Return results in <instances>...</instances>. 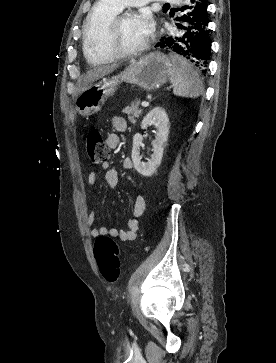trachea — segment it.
I'll return each instance as SVG.
<instances>
[{
  "instance_id": "3493384b",
  "label": "trachea",
  "mask_w": 276,
  "mask_h": 363,
  "mask_svg": "<svg viewBox=\"0 0 276 363\" xmlns=\"http://www.w3.org/2000/svg\"><path fill=\"white\" fill-rule=\"evenodd\" d=\"M164 6H169V4L167 3V4H165Z\"/></svg>"
}]
</instances>
